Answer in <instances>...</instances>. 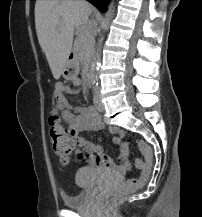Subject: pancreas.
Listing matches in <instances>:
<instances>
[{"label": "pancreas", "mask_w": 202, "mask_h": 217, "mask_svg": "<svg viewBox=\"0 0 202 217\" xmlns=\"http://www.w3.org/2000/svg\"><path fill=\"white\" fill-rule=\"evenodd\" d=\"M93 32L84 26L78 30L77 38L74 42V49L78 53L79 59L86 61L93 49Z\"/></svg>", "instance_id": "cf45deb5"}]
</instances>
